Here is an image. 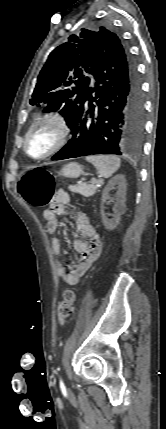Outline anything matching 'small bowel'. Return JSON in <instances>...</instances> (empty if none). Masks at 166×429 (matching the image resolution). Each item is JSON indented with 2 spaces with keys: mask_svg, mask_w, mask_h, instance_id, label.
Listing matches in <instances>:
<instances>
[{
  "mask_svg": "<svg viewBox=\"0 0 166 429\" xmlns=\"http://www.w3.org/2000/svg\"><path fill=\"white\" fill-rule=\"evenodd\" d=\"M67 202V194L63 191L57 192L52 199L51 206L44 211L43 215L47 221V231L53 235L52 249L55 255L57 275L63 284L75 285L100 256L102 241L92 225L89 215L84 211L78 212L76 216L77 229L81 235L90 239V243L82 239L75 240L73 247L80 254V260L70 265H65L62 262L61 244L55 234L59 228L58 216L67 213Z\"/></svg>",
  "mask_w": 166,
  "mask_h": 429,
  "instance_id": "1",
  "label": "small bowel"
}]
</instances>
